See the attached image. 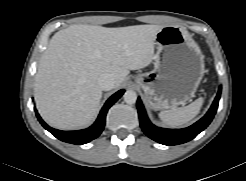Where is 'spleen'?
I'll return each instance as SVG.
<instances>
[{
  "label": "spleen",
  "instance_id": "obj_1",
  "mask_svg": "<svg viewBox=\"0 0 246 181\" xmlns=\"http://www.w3.org/2000/svg\"><path fill=\"white\" fill-rule=\"evenodd\" d=\"M203 102V98H198L185 107L163 110L159 113V117L166 125L171 127L185 125L199 114Z\"/></svg>",
  "mask_w": 246,
  "mask_h": 181
}]
</instances>
